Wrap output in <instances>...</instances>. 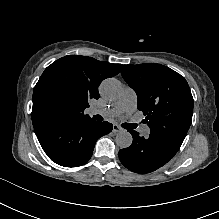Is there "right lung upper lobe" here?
Wrapping results in <instances>:
<instances>
[{
	"label": "right lung upper lobe",
	"mask_w": 219,
	"mask_h": 219,
	"mask_svg": "<svg viewBox=\"0 0 219 219\" xmlns=\"http://www.w3.org/2000/svg\"><path fill=\"white\" fill-rule=\"evenodd\" d=\"M121 64L68 55L49 65L33 91L32 121L91 119L84 114L88 101L98 99V86L117 75Z\"/></svg>",
	"instance_id": "cb5924a9"
}]
</instances>
